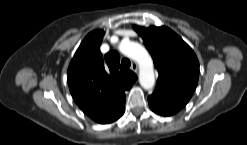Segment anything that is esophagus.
Wrapping results in <instances>:
<instances>
[{
    "label": "esophagus",
    "instance_id": "esophagus-1",
    "mask_svg": "<svg viewBox=\"0 0 247 145\" xmlns=\"http://www.w3.org/2000/svg\"><path fill=\"white\" fill-rule=\"evenodd\" d=\"M131 70L137 73L138 71V64L136 62H133L131 65Z\"/></svg>",
    "mask_w": 247,
    "mask_h": 145
}]
</instances>
